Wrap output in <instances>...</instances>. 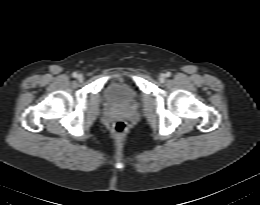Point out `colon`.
<instances>
[{
    "instance_id": "5ec220e1",
    "label": "colon",
    "mask_w": 260,
    "mask_h": 205,
    "mask_svg": "<svg viewBox=\"0 0 260 205\" xmlns=\"http://www.w3.org/2000/svg\"><path fill=\"white\" fill-rule=\"evenodd\" d=\"M112 130L115 135L122 137L127 131V125L124 121H116L113 124Z\"/></svg>"
}]
</instances>
